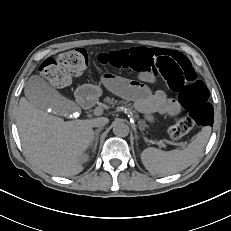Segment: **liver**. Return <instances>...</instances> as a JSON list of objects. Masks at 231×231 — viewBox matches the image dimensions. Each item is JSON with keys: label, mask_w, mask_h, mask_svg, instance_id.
I'll return each instance as SVG.
<instances>
[{"label": "liver", "mask_w": 231, "mask_h": 231, "mask_svg": "<svg viewBox=\"0 0 231 231\" xmlns=\"http://www.w3.org/2000/svg\"><path fill=\"white\" fill-rule=\"evenodd\" d=\"M100 118L108 122L106 117ZM93 120L65 122L38 109L25 97L20 99L16 115L26 156L43 171L62 177H70L83 170L82 155L94 138Z\"/></svg>", "instance_id": "1"}]
</instances>
